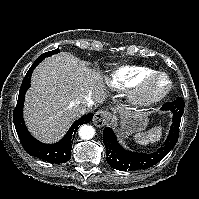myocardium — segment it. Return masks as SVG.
<instances>
[{
  "instance_id": "f54148a6",
  "label": "myocardium",
  "mask_w": 199,
  "mask_h": 199,
  "mask_svg": "<svg viewBox=\"0 0 199 199\" xmlns=\"http://www.w3.org/2000/svg\"><path fill=\"white\" fill-rule=\"evenodd\" d=\"M159 79H163L167 82L166 88L161 91H157L153 88V84ZM172 88V79L167 74L156 71L147 76L135 89L134 100L139 105H152L166 98L172 91Z\"/></svg>"
}]
</instances>
